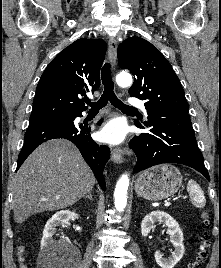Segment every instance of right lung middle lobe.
Masks as SVG:
<instances>
[{
    "label": "right lung middle lobe",
    "instance_id": "right-lung-middle-lobe-1",
    "mask_svg": "<svg viewBox=\"0 0 221 268\" xmlns=\"http://www.w3.org/2000/svg\"><path fill=\"white\" fill-rule=\"evenodd\" d=\"M76 117H64V118H59L57 120H73L75 119Z\"/></svg>",
    "mask_w": 221,
    "mask_h": 268
}]
</instances>
